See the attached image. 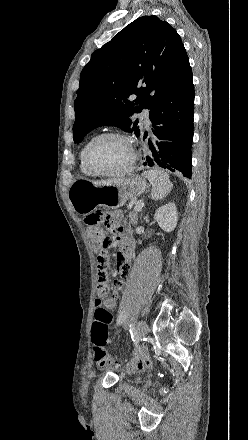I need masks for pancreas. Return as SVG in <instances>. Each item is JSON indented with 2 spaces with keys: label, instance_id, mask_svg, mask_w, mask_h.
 Listing matches in <instances>:
<instances>
[{
  "label": "pancreas",
  "instance_id": "pancreas-1",
  "mask_svg": "<svg viewBox=\"0 0 248 440\" xmlns=\"http://www.w3.org/2000/svg\"><path fill=\"white\" fill-rule=\"evenodd\" d=\"M129 221L133 226L137 225L138 214L137 212H130L128 215Z\"/></svg>",
  "mask_w": 248,
  "mask_h": 440
}]
</instances>
